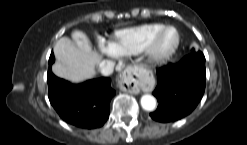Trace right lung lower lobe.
<instances>
[{
    "label": "right lung lower lobe",
    "instance_id": "1",
    "mask_svg": "<svg viewBox=\"0 0 247 145\" xmlns=\"http://www.w3.org/2000/svg\"><path fill=\"white\" fill-rule=\"evenodd\" d=\"M54 55L49 59L47 82L49 100L59 116L69 124L93 129L101 127L109 117V103L115 95L109 78H98L73 85L51 71Z\"/></svg>",
    "mask_w": 247,
    "mask_h": 145
}]
</instances>
